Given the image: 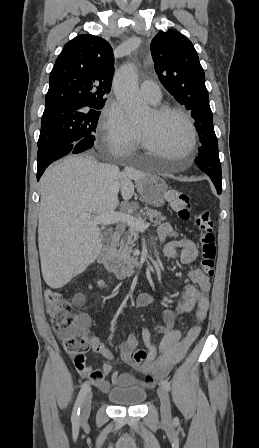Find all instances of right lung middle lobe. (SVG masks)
I'll return each instance as SVG.
<instances>
[{
	"label": "right lung middle lobe",
	"mask_w": 259,
	"mask_h": 448,
	"mask_svg": "<svg viewBox=\"0 0 259 448\" xmlns=\"http://www.w3.org/2000/svg\"><path fill=\"white\" fill-rule=\"evenodd\" d=\"M103 106L98 105L65 114H43L38 148L73 144L74 154L92 148L100 109Z\"/></svg>",
	"instance_id": "1"
}]
</instances>
